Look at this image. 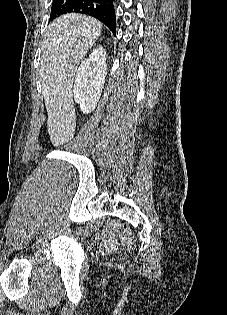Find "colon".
Returning a JSON list of instances; mask_svg holds the SVG:
<instances>
[{
	"instance_id": "1",
	"label": "colon",
	"mask_w": 227,
	"mask_h": 315,
	"mask_svg": "<svg viewBox=\"0 0 227 315\" xmlns=\"http://www.w3.org/2000/svg\"><path fill=\"white\" fill-rule=\"evenodd\" d=\"M134 239V235L132 232V229L128 224L123 225V231H122V241L126 245H130Z\"/></svg>"
}]
</instances>
